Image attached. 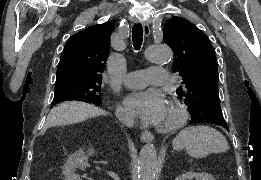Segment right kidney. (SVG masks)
Returning a JSON list of instances; mask_svg holds the SVG:
<instances>
[{
  "instance_id": "1",
  "label": "right kidney",
  "mask_w": 261,
  "mask_h": 180,
  "mask_svg": "<svg viewBox=\"0 0 261 180\" xmlns=\"http://www.w3.org/2000/svg\"><path fill=\"white\" fill-rule=\"evenodd\" d=\"M93 154H95L94 150H89V156H93ZM86 164L87 156L83 150L69 156V160L63 166V174H65L66 180H77V174H74L75 168L83 170V168H86Z\"/></svg>"
}]
</instances>
